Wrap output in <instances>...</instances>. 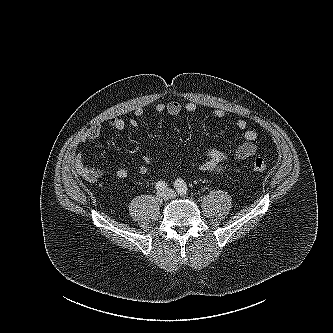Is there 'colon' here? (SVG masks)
Listing matches in <instances>:
<instances>
[{"instance_id":"colon-1","label":"colon","mask_w":333,"mask_h":333,"mask_svg":"<svg viewBox=\"0 0 333 333\" xmlns=\"http://www.w3.org/2000/svg\"><path fill=\"white\" fill-rule=\"evenodd\" d=\"M252 167L257 172H265L268 169V164L263 157H255L252 161Z\"/></svg>"}]
</instances>
